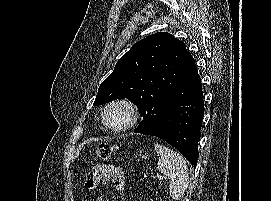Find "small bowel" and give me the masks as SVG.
<instances>
[{"label": "small bowel", "instance_id": "obj_1", "mask_svg": "<svg viewBox=\"0 0 271 201\" xmlns=\"http://www.w3.org/2000/svg\"><path fill=\"white\" fill-rule=\"evenodd\" d=\"M107 182L112 183L120 194L124 193L126 187L124 174L120 168L114 166H95L86 178L85 187L88 190H93L100 184Z\"/></svg>", "mask_w": 271, "mask_h": 201}]
</instances>
